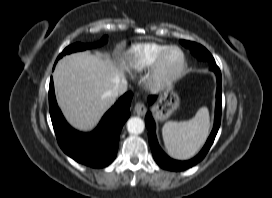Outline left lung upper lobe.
Returning <instances> with one entry per match:
<instances>
[{
	"mask_svg": "<svg viewBox=\"0 0 272 198\" xmlns=\"http://www.w3.org/2000/svg\"><path fill=\"white\" fill-rule=\"evenodd\" d=\"M180 43L186 48H189L191 53L194 56H196L199 60H209V61L215 62L212 55L202 45L197 44L195 42L185 41V40H180Z\"/></svg>",
	"mask_w": 272,
	"mask_h": 198,
	"instance_id": "left-lung-upper-lobe-1",
	"label": "left lung upper lobe"
}]
</instances>
